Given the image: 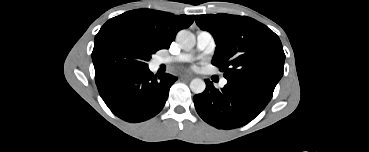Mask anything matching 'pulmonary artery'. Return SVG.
<instances>
[{
	"mask_svg": "<svg viewBox=\"0 0 369 152\" xmlns=\"http://www.w3.org/2000/svg\"><path fill=\"white\" fill-rule=\"evenodd\" d=\"M215 48V40L213 35L208 31H198L196 35V50L197 51H204L206 53H210ZM191 54L188 53H181L176 56L171 57H162L158 59L159 64H166L172 62H185L190 60ZM227 84L226 79L221 80V85L224 86Z\"/></svg>",
	"mask_w": 369,
	"mask_h": 152,
	"instance_id": "e3ab8cb5",
	"label": "pulmonary artery"
}]
</instances>
